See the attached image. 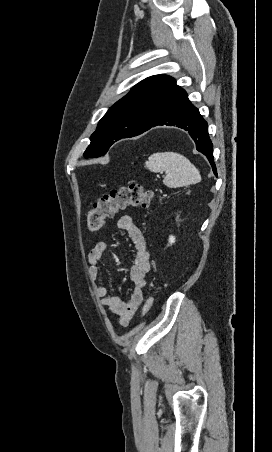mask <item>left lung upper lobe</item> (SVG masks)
<instances>
[{"instance_id":"obj_1","label":"left lung upper lobe","mask_w":272,"mask_h":452,"mask_svg":"<svg viewBox=\"0 0 272 452\" xmlns=\"http://www.w3.org/2000/svg\"><path fill=\"white\" fill-rule=\"evenodd\" d=\"M179 89L175 80L165 75L151 76L139 82L99 121L84 157L103 156L117 140L144 132Z\"/></svg>"}]
</instances>
